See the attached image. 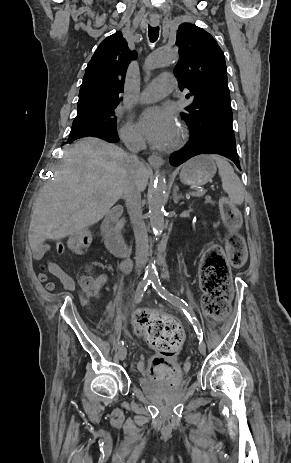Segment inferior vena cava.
Listing matches in <instances>:
<instances>
[{"instance_id": "1", "label": "inferior vena cava", "mask_w": 291, "mask_h": 463, "mask_svg": "<svg viewBox=\"0 0 291 463\" xmlns=\"http://www.w3.org/2000/svg\"><path fill=\"white\" fill-rule=\"evenodd\" d=\"M125 146L130 151L128 161L131 164L132 175L123 193V198L133 225L135 243H136V258L146 259L148 256V238L147 229L142 216L141 191L135 176V170L140 166L141 162L137 157V153L146 148V143L141 134L132 132L126 134L122 138Z\"/></svg>"}]
</instances>
